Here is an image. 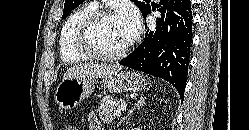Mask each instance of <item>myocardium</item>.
Returning <instances> with one entry per match:
<instances>
[{
  "label": "myocardium",
  "instance_id": "1",
  "mask_svg": "<svg viewBox=\"0 0 249 130\" xmlns=\"http://www.w3.org/2000/svg\"><path fill=\"white\" fill-rule=\"evenodd\" d=\"M116 15L109 9H96L89 14L80 24L76 34V46L80 52L87 57L102 60V61H116L124 58L131 46L132 41H129L120 51L116 53H106L99 50L92 41V31L95 26L103 19Z\"/></svg>",
  "mask_w": 249,
  "mask_h": 130
}]
</instances>
